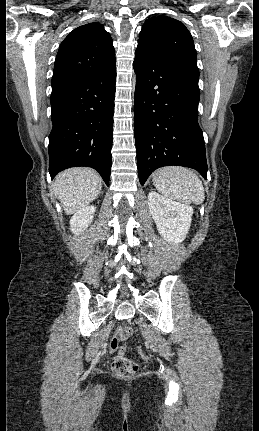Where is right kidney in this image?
Here are the masks:
<instances>
[{"mask_svg":"<svg viewBox=\"0 0 259 431\" xmlns=\"http://www.w3.org/2000/svg\"><path fill=\"white\" fill-rule=\"evenodd\" d=\"M95 210L94 206H87L78 210L70 219L71 231L78 235L80 232L86 230L93 220Z\"/></svg>","mask_w":259,"mask_h":431,"instance_id":"obj_1","label":"right kidney"}]
</instances>
